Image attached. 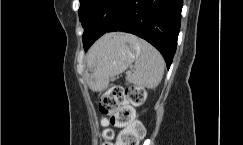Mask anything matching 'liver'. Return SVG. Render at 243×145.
<instances>
[{"mask_svg":"<svg viewBox=\"0 0 243 145\" xmlns=\"http://www.w3.org/2000/svg\"><path fill=\"white\" fill-rule=\"evenodd\" d=\"M109 36H110V34H107V35H105L102 39H100V40L94 45V47L92 48V50H91V54L93 53V51H94L95 49H97L98 45L101 44V43H102L105 39H107ZM90 56H91V55H90Z\"/></svg>","mask_w":243,"mask_h":145,"instance_id":"obj_1","label":"liver"}]
</instances>
